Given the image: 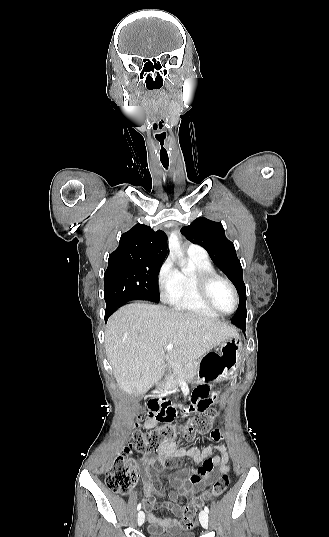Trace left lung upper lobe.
<instances>
[{
    "instance_id": "obj_1",
    "label": "left lung upper lobe",
    "mask_w": 329,
    "mask_h": 537,
    "mask_svg": "<svg viewBox=\"0 0 329 537\" xmlns=\"http://www.w3.org/2000/svg\"><path fill=\"white\" fill-rule=\"evenodd\" d=\"M185 237L207 250L216 265L226 274L239 294V306L232 322L241 328L246 323V287L243 281L242 266L237 258L234 245L225 236L221 223L204 217L195 219L189 226L182 228Z\"/></svg>"
}]
</instances>
